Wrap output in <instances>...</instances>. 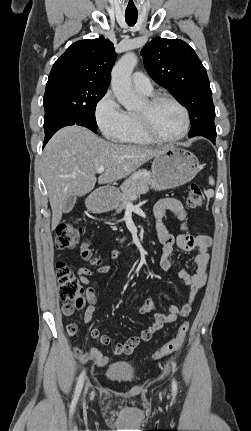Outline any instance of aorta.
<instances>
[{"instance_id":"762f6f07","label":"aorta","mask_w":251,"mask_h":431,"mask_svg":"<svg viewBox=\"0 0 251 431\" xmlns=\"http://www.w3.org/2000/svg\"><path fill=\"white\" fill-rule=\"evenodd\" d=\"M137 63V56L133 52L126 53L115 64L111 73V87L118 102L127 110H134L140 106V100L132 89L131 74Z\"/></svg>"}]
</instances>
